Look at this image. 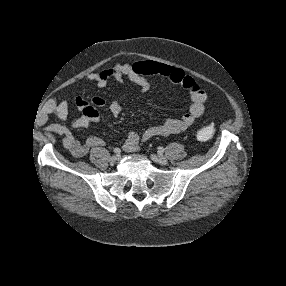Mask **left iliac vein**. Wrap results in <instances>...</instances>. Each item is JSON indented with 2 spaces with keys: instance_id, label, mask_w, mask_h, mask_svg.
Listing matches in <instances>:
<instances>
[{
  "instance_id": "left-iliac-vein-1",
  "label": "left iliac vein",
  "mask_w": 286,
  "mask_h": 286,
  "mask_svg": "<svg viewBox=\"0 0 286 286\" xmlns=\"http://www.w3.org/2000/svg\"><path fill=\"white\" fill-rule=\"evenodd\" d=\"M151 159L154 162H157V163L162 164V165H166L168 163V159L165 156H163V155L152 154L151 155Z\"/></svg>"
}]
</instances>
